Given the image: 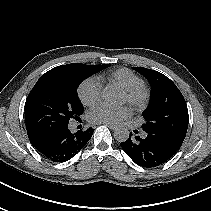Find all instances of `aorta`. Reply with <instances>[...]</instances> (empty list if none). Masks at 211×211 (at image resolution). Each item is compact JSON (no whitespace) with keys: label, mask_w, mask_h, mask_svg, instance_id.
I'll return each mask as SVG.
<instances>
[{"label":"aorta","mask_w":211,"mask_h":211,"mask_svg":"<svg viewBox=\"0 0 211 211\" xmlns=\"http://www.w3.org/2000/svg\"><path fill=\"white\" fill-rule=\"evenodd\" d=\"M102 100L108 105H118L121 102L120 96L109 88H105L102 92ZM114 138L118 142H124L129 138V131L126 128H118L114 131Z\"/></svg>","instance_id":"762f6f07"}]
</instances>
